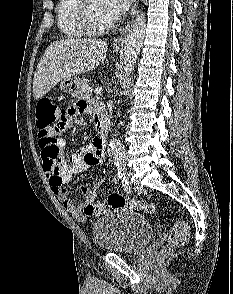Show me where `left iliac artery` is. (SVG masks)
Listing matches in <instances>:
<instances>
[{"label": "left iliac artery", "instance_id": "1", "mask_svg": "<svg viewBox=\"0 0 233 294\" xmlns=\"http://www.w3.org/2000/svg\"><path fill=\"white\" fill-rule=\"evenodd\" d=\"M117 169H118L119 179L122 182V178H126V175H125L126 166L125 164L121 163L117 165ZM126 192H130V191H126Z\"/></svg>", "mask_w": 233, "mask_h": 294}]
</instances>
